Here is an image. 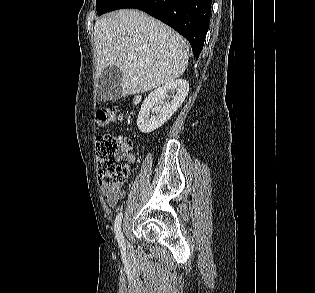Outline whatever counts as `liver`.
Returning a JSON list of instances; mask_svg holds the SVG:
<instances>
[{"label": "liver", "instance_id": "6515ba94", "mask_svg": "<svg viewBox=\"0 0 315 293\" xmlns=\"http://www.w3.org/2000/svg\"><path fill=\"white\" fill-rule=\"evenodd\" d=\"M94 41L98 76L109 65L119 67L123 97L174 81L188 65L187 41L141 11L121 9L98 19Z\"/></svg>", "mask_w": 315, "mask_h": 293}]
</instances>
